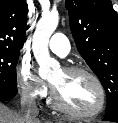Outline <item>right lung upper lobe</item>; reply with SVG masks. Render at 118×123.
<instances>
[{
  "label": "right lung upper lobe",
  "instance_id": "obj_1",
  "mask_svg": "<svg viewBox=\"0 0 118 123\" xmlns=\"http://www.w3.org/2000/svg\"><path fill=\"white\" fill-rule=\"evenodd\" d=\"M26 0H0V49L19 51L25 41Z\"/></svg>",
  "mask_w": 118,
  "mask_h": 123
}]
</instances>
